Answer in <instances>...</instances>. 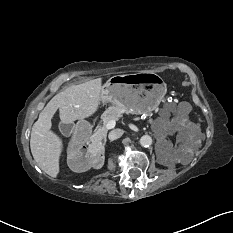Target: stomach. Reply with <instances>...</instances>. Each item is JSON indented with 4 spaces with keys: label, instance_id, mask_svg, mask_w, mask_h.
Instances as JSON below:
<instances>
[{
    "label": "stomach",
    "instance_id": "1",
    "mask_svg": "<svg viewBox=\"0 0 233 233\" xmlns=\"http://www.w3.org/2000/svg\"><path fill=\"white\" fill-rule=\"evenodd\" d=\"M102 88V103L110 102L132 114L156 110L167 93L166 83L154 72L115 75Z\"/></svg>",
    "mask_w": 233,
    "mask_h": 233
}]
</instances>
